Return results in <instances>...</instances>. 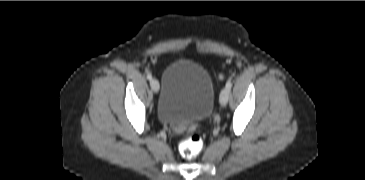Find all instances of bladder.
Instances as JSON below:
<instances>
[{"label":"bladder","instance_id":"31cf9c89","mask_svg":"<svg viewBox=\"0 0 365 180\" xmlns=\"http://www.w3.org/2000/svg\"><path fill=\"white\" fill-rule=\"evenodd\" d=\"M215 94L212 78L200 63L189 59L174 61L163 73L157 119L168 125L206 119L213 110Z\"/></svg>","mask_w":365,"mask_h":180}]
</instances>
